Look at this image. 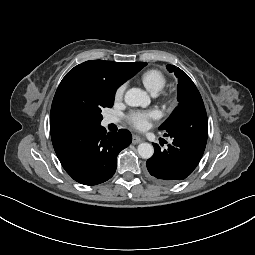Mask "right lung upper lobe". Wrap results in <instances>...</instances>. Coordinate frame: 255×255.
Masks as SVG:
<instances>
[{"mask_svg":"<svg viewBox=\"0 0 255 255\" xmlns=\"http://www.w3.org/2000/svg\"><path fill=\"white\" fill-rule=\"evenodd\" d=\"M144 64L145 62L86 61L71 69L65 78L71 76L82 77L90 81L101 82L116 90L141 70L145 66ZM62 127H66V125L60 124L50 117V130Z\"/></svg>","mask_w":255,"mask_h":255,"instance_id":"obj_1","label":"right lung upper lobe"}]
</instances>
